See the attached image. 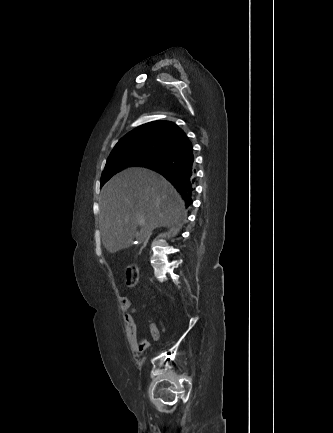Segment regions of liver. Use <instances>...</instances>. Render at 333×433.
Here are the masks:
<instances>
[{"label":"liver","instance_id":"1","mask_svg":"<svg viewBox=\"0 0 333 433\" xmlns=\"http://www.w3.org/2000/svg\"><path fill=\"white\" fill-rule=\"evenodd\" d=\"M184 205L176 189L155 171L131 167L119 172L101 190L99 225L104 247L113 254L129 248L138 225L141 240L158 227H172L176 233L185 221Z\"/></svg>","mask_w":333,"mask_h":433}]
</instances>
